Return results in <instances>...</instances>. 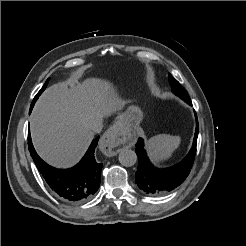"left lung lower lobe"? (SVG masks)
<instances>
[{
    "label": "left lung lower lobe",
    "mask_w": 246,
    "mask_h": 246,
    "mask_svg": "<svg viewBox=\"0 0 246 246\" xmlns=\"http://www.w3.org/2000/svg\"><path fill=\"white\" fill-rule=\"evenodd\" d=\"M185 102L189 105L192 104L190 99ZM198 131L196 116L195 136L189 153L180 163L164 169L156 168L151 164L144 148L143 139H138L136 143L138 169L135 174V182L143 192L151 196L163 195L178 187L186 179L194 162Z\"/></svg>",
    "instance_id": "left-lung-lower-lobe-1"
}]
</instances>
